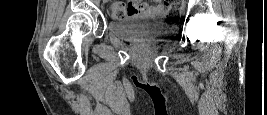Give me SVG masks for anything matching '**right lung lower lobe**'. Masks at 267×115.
I'll list each match as a JSON object with an SVG mask.
<instances>
[{
  "mask_svg": "<svg viewBox=\"0 0 267 115\" xmlns=\"http://www.w3.org/2000/svg\"><path fill=\"white\" fill-rule=\"evenodd\" d=\"M143 89H145L146 91H154L152 88H148V87H143Z\"/></svg>",
  "mask_w": 267,
  "mask_h": 115,
  "instance_id": "right-lung-lower-lobe-1",
  "label": "right lung lower lobe"
}]
</instances>
